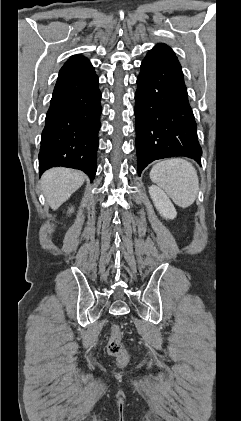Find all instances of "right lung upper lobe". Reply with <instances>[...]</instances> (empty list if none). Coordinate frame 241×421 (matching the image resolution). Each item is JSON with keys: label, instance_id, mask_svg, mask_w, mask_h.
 Wrapping results in <instances>:
<instances>
[{"label": "right lung upper lobe", "instance_id": "right-lung-upper-lobe-1", "mask_svg": "<svg viewBox=\"0 0 241 421\" xmlns=\"http://www.w3.org/2000/svg\"><path fill=\"white\" fill-rule=\"evenodd\" d=\"M76 57H81V56H80V55H77V56H75V57H72L71 59L76 58Z\"/></svg>", "mask_w": 241, "mask_h": 421}]
</instances>
